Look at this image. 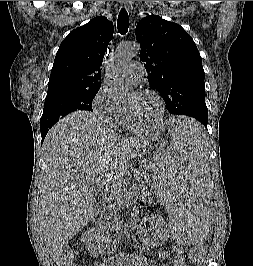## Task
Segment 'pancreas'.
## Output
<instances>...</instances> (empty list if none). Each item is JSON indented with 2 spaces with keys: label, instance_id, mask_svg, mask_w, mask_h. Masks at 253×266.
I'll return each mask as SVG.
<instances>
[{
  "label": "pancreas",
  "instance_id": "pancreas-1",
  "mask_svg": "<svg viewBox=\"0 0 253 266\" xmlns=\"http://www.w3.org/2000/svg\"><path fill=\"white\" fill-rule=\"evenodd\" d=\"M138 181L140 185L134 184L130 191L127 192L122 188H118L119 195L117 194H109V197L106 199L108 205L98 211V214H104V225L109 228H113L119 221V213L122 208L128 206L131 202L132 194L140 195L141 200L144 202H151L152 192H150L146 186L148 182L147 174L140 172L138 174Z\"/></svg>",
  "mask_w": 253,
  "mask_h": 266
}]
</instances>
